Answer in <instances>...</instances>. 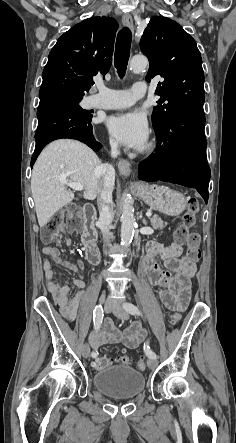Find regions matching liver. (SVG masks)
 <instances>
[{
	"label": "liver",
	"instance_id": "obj_1",
	"mask_svg": "<svg viewBox=\"0 0 236 443\" xmlns=\"http://www.w3.org/2000/svg\"><path fill=\"white\" fill-rule=\"evenodd\" d=\"M98 156L85 144L70 139L50 143L36 160L31 177V191L40 227L63 206L74 199L60 178L83 185V197L94 200L100 189Z\"/></svg>",
	"mask_w": 236,
	"mask_h": 443
}]
</instances>
